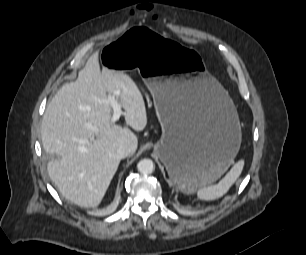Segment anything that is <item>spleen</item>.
I'll return each instance as SVG.
<instances>
[{
  "instance_id": "1",
  "label": "spleen",
  "mask_w": 306,
  "mask_h": 255,
  "mask_svg": "<svg viewBox=\"0 0 306 255\" xmlns=\"http://www.w3.org/2000/svg\"><path fill=\"white\" fill-rule=\"evenodd\" d=\"M243 166L244 161L239 160L218 184L199 188L197 190L198 197L203 200H214L222 197L240 176Z\"/></svg>"
}]
</instances>
